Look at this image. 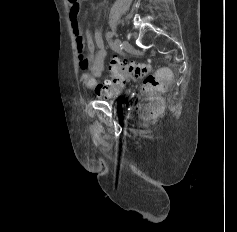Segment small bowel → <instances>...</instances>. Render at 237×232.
<instances>
[{"label": "small bowel", "instance_id": "c3829d8e", "mask_svg": "<svg viewBox=\"0 0 237 232\" xmlns=\"http://www.w3.org/2000/svg\"><path fill=\"white\" fill-rule=\"evenodd\" d=\"M70 2V22L75 37L78 63L81 70L90 72L94 77H99L104 71V61L106 58V50L102 33L96 29L93 35L84 34L79 23V11L81 0H69ZM88 50V54L85 53ZM94 88L97 95L110 98L116 95L119 91L108 89L101 84H97L95 79L88 85Z\"/></svg>", "mask_w": 237, "mask_h": 232}]
</instances>
